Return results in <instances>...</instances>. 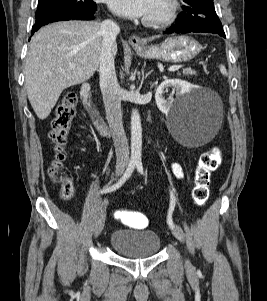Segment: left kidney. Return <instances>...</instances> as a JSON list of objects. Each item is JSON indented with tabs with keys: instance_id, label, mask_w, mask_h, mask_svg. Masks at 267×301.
<instances>
[{
	"instance_id": "5707ae66",
	"label": "left kidney",
	"mask_w": 267,
	"mask_h": 301,
	"mask_svg": "<svg viewBox=\"0 0 267 301\" xmlns=\"http://www.w3.org/2000/svg\"><path fill=\"white\" fill-rule=\"evenodd\" d=\"M173 87L177 90V95L181 96L184 94L189 93L192 89L195 87L191 85L190 83L179 80V79H168L162 82L158 88L156 89L155 93V100L158 108L163 112V113H168L172 104H173V99L165 100L163 97L164 90Z\"/></svg>"
}]
</instances>
